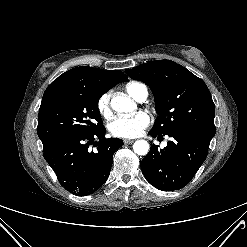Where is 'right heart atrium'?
Here are the masks:
<instances>
[{"label": "right heart atrium", "instance_id": "obj_1", "mask_svg": "<svg viewBox=\"0 0 247 247\" xmlns=\"http://www.w3.org/2000/svg\"><path fill=\"white\" fill-rule=\"evenodd\" d=\"M111 93L104 92L97 100L96 107L98 112L103 117H108L111 114V106H110Z\"/></svg>", "mask_w": 247, "mask_h": 247}]
</instances>
